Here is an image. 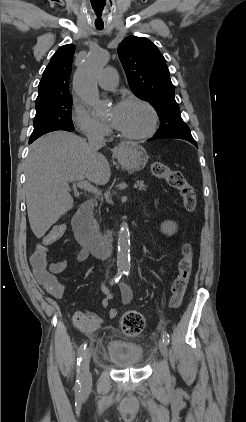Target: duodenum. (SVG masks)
<instances>
[{"instance_id": "1", "label": "duodenum", "mask_w": 246, "mask_h": 422, "mask_svg": "<svg viewBox=\"0 0 246 422\" xmlns=\"http://www.w3.org/2000/svg\"><path fill=\"white\" fill-rule=\"evenodd\" d=\"M93 202L88 200L82 204L75 214L72 226L78 241L94 256L109 257L113 253L112 234L101 233L91 224Z\"/></svg>"}]
</instances>
